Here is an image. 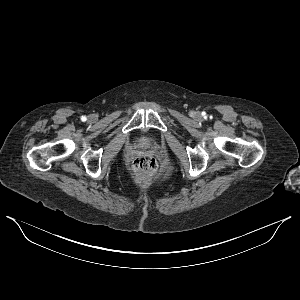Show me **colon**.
Instances as JSON below:
<instances>
[{
	"mask_svg": "<svg viewBox=\"0 0 300 300\" xmlns=\"http://www.w3.org/2000/svg\"><path fill=\"white\" fill-rule=\"evenodd\" d=\"M158 172L156 159L150 155L137 157L131 166V173L138 181H147L153 179Z\"/></svg>",
	"mask_w": 300,
	"mask_h": 300,
	"instance_id": "5ec220e1",
	"label": "colon"
}]
</instances>
